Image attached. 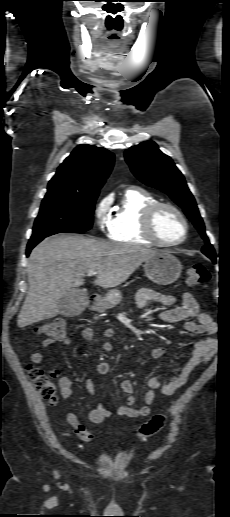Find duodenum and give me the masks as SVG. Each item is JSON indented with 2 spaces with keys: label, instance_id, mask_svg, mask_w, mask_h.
<instances>
[{
  "label": "duodenum",
  "instance_id": "1",
  "mask_svg": "<svg viewBox=\"0 0 230 517\" xmlns=\"http://www.w3.org/2000/svg\"><path fill=\"white\" fill-rule=\"evenodd\" d=\"M102 300L103 299L101 297H99L98 295H91L89 298L91 309L94 311H99L102 307V305H101Z\"/></svg>",
  "mask_w": 230,
  "mask_h": 517
}]
</instances>
